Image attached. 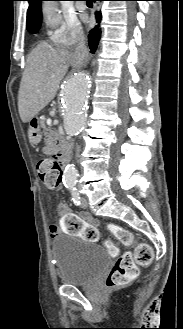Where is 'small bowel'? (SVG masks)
<instances>
[{
    "mask_svg": "<svg viewBox=\"0 0 183 329\" xmlns=\"http://www.w3.org/2000/svg\"><path fill=\"white\" fill-rule=\"evenodd\" d=\"M47 154L53 153V143L47 141L44 147ZM59 219H74V212H71L65 203L58 205ZM81 220H61L60 225H51L49 235L55 237L61 230L65 232V236H80V242H98L100 236L99 225L97 220L89 213L79 215Z\"/></svg>",
    "mask_w": 183,
    "mask_h": 329,
    "instance_id": "c3829d8e",
    "label": "small bowel"
}]
</instances>
